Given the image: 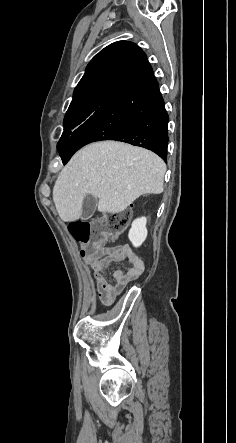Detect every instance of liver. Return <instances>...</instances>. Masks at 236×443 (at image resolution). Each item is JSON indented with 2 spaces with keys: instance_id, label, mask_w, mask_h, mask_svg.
Segmentation results:
<instances>
[{
  "instance_id": "6515ba94",
  "label": "liver",
  "mask_w": 236,
  "mask_h": 443,
  "mask_svg": "<svg viewBox=\"0 0 236 443\" xmlns=\"http://www.w3.org/2000/svg\"><path fill=\"white\" fill-rule=\"evenodd\" d=\"M166 164L140 147L103 141L79 150L60 172L53 201L65 222L78 220L87 194L98 198V211L120 213L143 194L164 190Z\"/></svg>"
}]
</instances>
